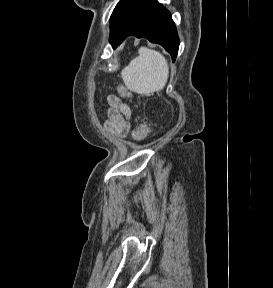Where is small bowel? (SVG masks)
Listing matches in <instances>:
<instances>
[{
	"mask_svg": "<svg viewBox=\"0 0 273 288\" xmlns=\"http://www.w3.org/2000/svg\"><path fill=\"white\" fill-rule=\"evenodd\" d=\"M107 119L105 129L112 135L123 138L131 129L132 111L127 103L116 95L107 96Z\"/></svg>",
	"mask_w": 273,
	"mask_h": 288,
	"instance_id": "small-bowel-1",
	"label": "small bowel"
}]
</instances>
